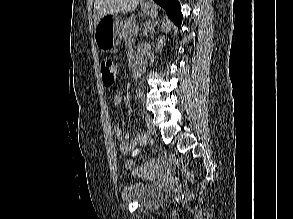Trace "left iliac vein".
<instances>
[{
	"mask_svg": "<svg viewBox=\"0 0 293 219\" xmlns=\"http://www.w3.org/2000/svg\"><path fill=\"white\" fill-rule=\"evenodd\" d=\"M145 122H146L148 130L150 132L154 133L155 132V127H154L153 122H152V117L148 113L145 114Z\"/></svg>",
	"mask_w": 293,
	"mask_h": 219,
	"instance_id": "1",
	"label": "left iliac vein"
}]
</instances>
